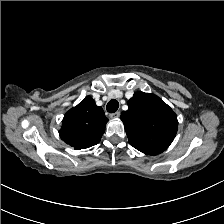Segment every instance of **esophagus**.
Here are the masks:
<instances>
[{
  "instance_id": "1",
  "label": "esophagus",
  "mask_w": 224,
  "mask_h": 224,
  "mask_svg": "<svg viewBox=\"0 0 224 224\" xmlns=\"http://www.w3.org/2000/svg\"><path fill=\"white\" fill-rule=\"evenodd\" d=\"M119 116H120V112H119V111L110 114V118H112V119H114V118H118Z\"/></svg>"
}]
</instances>
